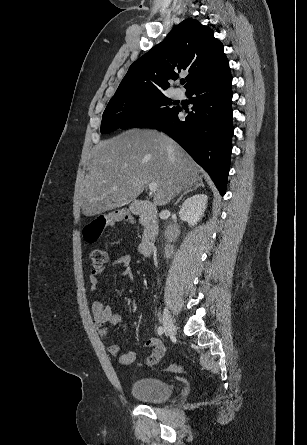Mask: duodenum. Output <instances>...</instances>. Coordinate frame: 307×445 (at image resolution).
<instances>
[{"label":"duodenum","mask_w":307,"mask_h":445,"mask_svg":"<svg viewBox=\"0 0 307 445\" xmlns=\"http://www.w3.org/2000/svg\"><path fill=\"white\" fill-rule=\"evenodd\" d=\"M131 211L139 216L145 225L138 249L142 255L147 256L152 252L158 234L157 209L149 201L136 200L131 205Z\"/></svg>","instance_id":"410a0bca"}]
</instances>
